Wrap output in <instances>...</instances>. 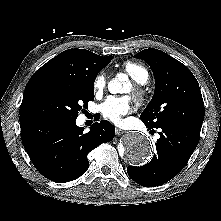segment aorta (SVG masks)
Listing matches in <instances>:
<instances>
[{
    "instance_id": "obj_1",
    "label": "aorta",
    "mask_w": 221,
    "mask_h": 221,
    "mask_svg": "<svg viewBox=\"0 0 221 221\" xmlns=\"http://www.w3.org/2000/svg\"><path fill=\"white\" fill-rule=\"evenodd\" d=\"M127 82V75L120 73L108 83V89L111 93H125ZM151 148V142L147 136L140 132H131L123 139L121 156L133 165H142L151 158Z\"/></svg>"
}]
</instances>
